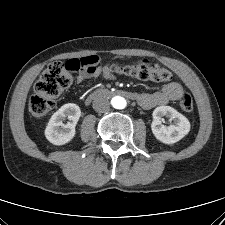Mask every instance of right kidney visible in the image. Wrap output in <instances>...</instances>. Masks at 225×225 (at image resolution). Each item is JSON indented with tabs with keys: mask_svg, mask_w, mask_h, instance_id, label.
I'll return each instance as SVG.
<instances>
[{
	"mask_svg": "<svg viewBox=\"0 0 225 225\" xmlns=\"http://www.w3.org/2000/svg\"><path fill=\"white\" fill-rule=\"evenodd\" d=\"M81 116V110L78 105L68 103L63 105L50 118L46 129L45 137L54 145H64L70 142L75 134V126ZM65 118L69 119L68 123H63Z\"/></svg>",
	"mask_w": 225,
	"mask_h": 225,
	"instance_id": "obj_1",
	"label": "right kidney"
}]
</instances>
